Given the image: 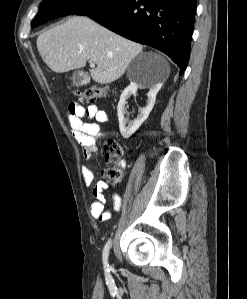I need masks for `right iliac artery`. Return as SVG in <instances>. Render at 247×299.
Wrapping results in <instances>:
<instances>
[{
	"label": "right iliac artery",
	"instance_id": "obj_1",
	"mask_svg": "<svg viewBox=\"0 0 247 299\" xmlns=\"http://www.w3.org/2000/svg\"><path fill=\"white\" fill-rule=\"evenodd\" d=\"M110 247H111V241L109 240L103 249V262H104L105 268L108 267L107 260H108V254H109ZM107 271H109L108 268H107Z\"/></svg>",
	"mask_w": 247,
	"mask_h": 299
}]
</instances>
